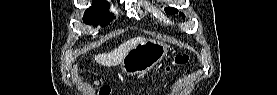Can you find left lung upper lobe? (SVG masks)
Segmentation results:
<instances>
[{
	"label": "left lung upper lobe",
	"mask_w": 277,
	"mask_h": 95,
	"mask_svg": "<svg viewBox=\"0 0 277 95\" xmlns=\"http://www.w3.org/2000/svg\"><path fill=\"white\" fill-rule=\"evenodd\" d=\"M165 11H166L167 14H173V13L178 12L177 9L172 8V7H167V8L165 9ZM179 14L182 15L183 18H185V16H184L183 13H179Z\"/></svg>",
	"instance_id": "1"
}]
</instances>
